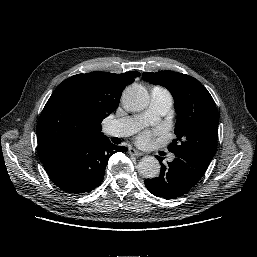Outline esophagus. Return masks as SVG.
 <instances>
[{"mask_svg": "<svg viewBox=\"0 0 257 257\" xmlns=\"http://www.w3.org/2000/svg\"><path fill=\"white\" fill-rule=\"evenodd\" d=\"M128 152H129L130 155L136 156V157H140V156L143 155L142 152L138 151V150L135 149V148H129Z\"/></svg>", "mask_w": 257, "mask_h": 257, "instance_id": "esophagus-1", "label": "esophagus"}]
</instances>
